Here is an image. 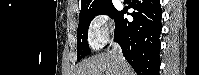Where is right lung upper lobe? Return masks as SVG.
Listing matches in <instances>:
<instances>
[{"instance_id": "1", "label": "right lung upper lobe", "mask_w": 199, "mask_h": 75, "mask_svg": "<svg viewBox=\"0 0 199 75\" xmlns=\"http://www.w3.org/2000/svg\"><path fill=\"white\" fill-rule=\"evenodd\" d=\"M108 2H111V0H81V11L79 16L86 14Z\"/></svg>"}]
</instances>
